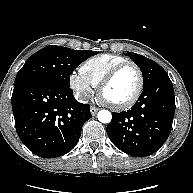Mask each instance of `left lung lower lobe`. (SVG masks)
I'll return each mask as SVG.
<instances>
[{
    "label": "left lung lower lobe",
    "mask_w": 193,
    "mask_h": 193,
    "mask_svg": "<svg viewBox=\"0 0 193 193\" xmlns=\"http://www.w3.org/2000/svg\"><path fill=\"white\" fill-rule=\"evenodd\" d=\"M175 112V97L168 74L162 73L143 87L138 101L127 112L113 113L107 126L112 143L131 156L145 157L167 140Z\"/></svg>",
    "instance_id": "left-lung-lower-lobe-1"
}]
</instances>
